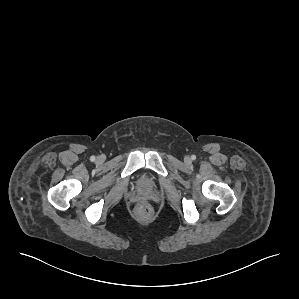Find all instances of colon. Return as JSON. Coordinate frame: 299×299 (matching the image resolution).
<instances>
[{
  "label": "colon",
  "mask_w": 299,
  "mask_h": 299,
  "mask_svg": "<svg viewBox=\"0 0 299 299\" xmlns=\"http://www.w3.org/2000/svg\"><path fill=\"white\" fill-rule=\"evenodd\" d=\"M153 213L152 206L147 201H140L135 206V214L141 219L149 218Z\"/></svg>",
  "instance_id": "1"
}]
</instances>
